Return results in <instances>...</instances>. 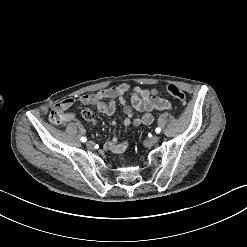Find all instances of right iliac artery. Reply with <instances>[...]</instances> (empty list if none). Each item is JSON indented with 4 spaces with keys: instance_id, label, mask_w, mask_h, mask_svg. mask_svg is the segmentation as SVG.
I'll use <instances>...</instances> for the list:
<instances>
[{
    "instance_id": "82829eb1",
    "label": "right iliac artery",
    "mask_w": 247,
    "mask_h": 247,
    "mask_svg": "<svg viewBox=\"0 0 247 247\" xmlns=\"http://www.w3.org/2000/svg\"><path fill=\"white\" fill-rule=\"evenodd\" d=\"M80 140H81L82 142H86V141H87V139H86L85 137H81Z\"/></svg>"
}]
</instances>
